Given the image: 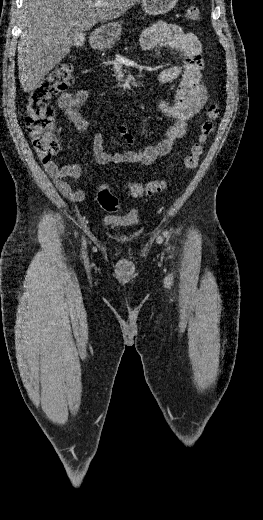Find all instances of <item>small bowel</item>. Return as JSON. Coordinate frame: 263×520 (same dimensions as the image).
Listing matches in <instances>:
<instances>
[{
  "label": "small bowel",
  "instance_id": "1",
  "mask_svg": "<svg viewBox=\"0 0 263 520\" xmlns=\"http://www.w3.org/2000/svg\"><path fill=\"white\" fill-rule=\"evenodd\" d=\"M141 47L144 51H153L158 47H168L179 52L183 58V65H172L163 69L158 75L160 84H168L177 80L172 100L160 99L159 111L173 120L168 126L165 137L154 144L145 145L138 150L109 153L104 149L103 135H95L92 151L98 164H143L150 165L158 157L168 154L173 144L181 139L187 130L190 120L197 115L207 102V89L202 82L204 61L202 48L197 37L181 27L165 22H157L142 32ZM90 91L85 88L75 92H64L57 99L60 111L74 124L79 134L83 135L88 129L85 118L78 111L88 100ZM119 135L127 144L134 141L126 124L117 127ZM44 168L58 190L69 200L81 202L86 193L81 189H73L67 179H77L81 175L78 164L58 165L54 161L44 163Z\"/></svg>",
  "mask_w": 263,
  "mask_h": 520
}]
</instances>
